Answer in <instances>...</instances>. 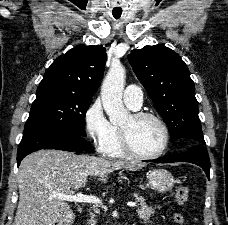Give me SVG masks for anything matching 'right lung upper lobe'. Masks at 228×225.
<instances>
[{"instance_id": "obj_1", "label": "right lung upper lobe", "mask_w": 228, "mask_h": 225, "mask_svg": "<svg viewBox=\"0 0 228 225\" xmlns=\"http://www.w3.org/2000/svg\"><path fill=\"white\" fill-rule=\"evenodd\" d=\"M105 62L104 47L77 45L55 59L38 87L58 86L92 97L100 85Z\"/></svg>"}]
</instances>
